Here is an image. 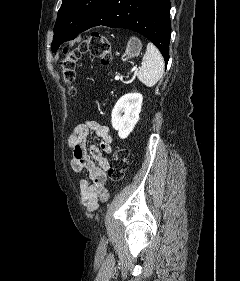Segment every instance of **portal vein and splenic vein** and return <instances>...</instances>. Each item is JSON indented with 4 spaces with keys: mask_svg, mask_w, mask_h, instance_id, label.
I'll use <instances>...</instances> for the list:
<instances>
[{
    "mask_svg": "<svg viewBox=\"0 0 240 281\" xmlns=\"http://www.w3.org/2000/svg\"><path fill=\"white\" fill-rule=\"evenodd\" d=\"M137 70H138V68H137V67H134V68L131 70V72H133V71L136 72ZM128 76H129V74H128ZM128 76H127V77H128ZM120 79H122V77H120V76H115V80H116V81H118V80H120Z\"/></svg>",
    "mask_w": 240,
    "mask_h": 281,
    "instance_id": "portal-vein-and-splenic-vein-1",
    "label": "portal vein and splenic vein"
}]
</instances>
